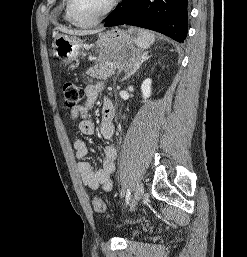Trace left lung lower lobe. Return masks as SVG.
I'll return each instance as SVG.
<instances>
[{
	"instance_id": "obj_1",
	"label": "left lung lower lobe",
	"mask_w": 247,
	"mask_h": 257,
	"mask_svg": "<svg viewBox=\"0 0 247 257\" xmlns=\"http://www.w3.org/2000/svg\"><path fill=\"white\" fill-rule=\"evenodd\" d=\"M134 25L183 42L188 31L187 0H123L104 26Z\"/></svg>"
}]
</instances>
